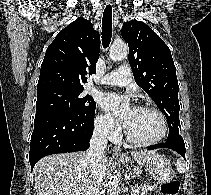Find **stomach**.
Listing matches in <instances>:
<instances>
[{"mask_svg":"<svg viewBox=\"0 0 211 195\" xmlns=\"http://www.w3.org/2000/svg\"><path fill=\"white\" fill-rule=\"evenodd\" d=\"M121 162L129 167H133V175L139 177L142 173V168L152 177H154L158 183L168 182L172 179L173 172L170 166V161L161 154L154 153L148 155L140 161L130 160L125 157L121 159Z\"/></svg>","mask_w":211,"mask_h":195,"instance_id":"stomach-1","label":"stomach"}]
</instances>
